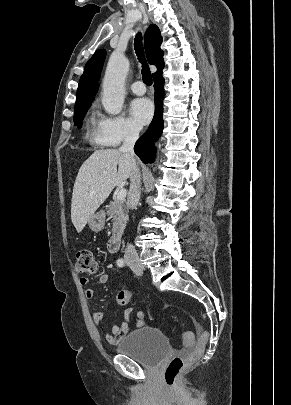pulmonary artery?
Returning <instances> with one entry per match:
<instances>
[{"label":"pulmonary artery","instance_id":"obj_1","mask_svg":"<svg viewBox=\"0 0 291 405\" xmlns=\"http://www.w3.org/2000/svg\"><path fill=\"white\" fill-rule=\"evenodd\" d=\"M131 90L136 95H142L146 92V87L141 81H136L132 83Z\"/></svg>","mask_w":291,"mask_h":405}]
</instances>
